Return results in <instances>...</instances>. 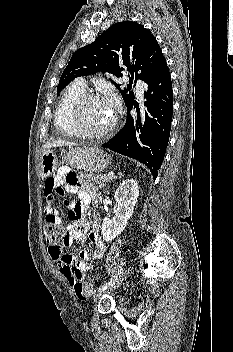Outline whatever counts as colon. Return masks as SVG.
<instances>
[{
  "label": "colon",
  "mask_w": 233,
  "mask_h": 352,
  "mask_svg": "<svg viewBox=\"0 0 233 352\" xmlns=\"http://www.w3.org/2000/svg\"><path fill=\"white\" fill-rule=\"evenodd\" d=\"M43 233L46 240L51 245L64 246L66 243L65 234L63 230L58 226L50 223H45L43 227ZM73 289L78 299L86 300L92 294L91 281L89 279H80L74 284Z\"/></svg>",
  "instance_id": "1"
}]
</instances>
